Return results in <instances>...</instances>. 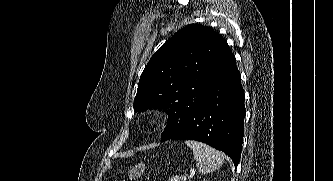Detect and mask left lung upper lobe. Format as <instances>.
Returning a JSON list of instances; mask_svg holds the SVG:
<instances>
[{
	"label": "left lung upper lobe",
	"mask_w": 333,
	"mask_h": 181,
	"mask_svg": "<svg viewBox=\"0 0 333 181\" xmlns=\"http://www.w3.org/2000/svg\"><path fill=\"white\" fill-rule=\"evenodd\" d=\"M222 36L209 27L190 24L175 33L151 57L139 80L134 108L165 109L169 122L196 110L210 86L234 63Z\"/></svg>",
	"instance_id": "left-lung-upper-lobe-1"
}]
</instances>
